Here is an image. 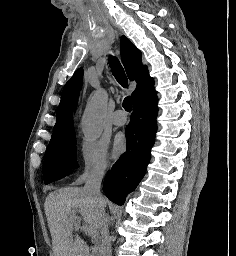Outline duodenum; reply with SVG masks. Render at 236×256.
<instances>
[{
  "instance_id": "1",
  "label": "duodenum",
  "mask_w": 236,
  "mask_h": 256,
  "mask_svg": "<svg viewBox=\"0 0 236 256\" xmlns=\"http://www.w3.org/2000/svg\"><path fill=\"white\" fill-rule=\"evenodd\" d=\"M81 256H92V251L90 248H85Z\"/></svg>"
}]
</instances>
